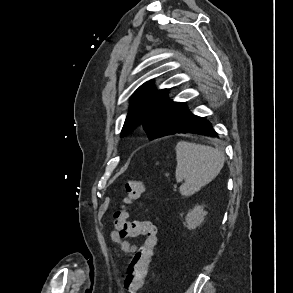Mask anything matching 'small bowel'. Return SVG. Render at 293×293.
I'll list each match as a JSON object with an SVG mask.
<instances>
[{
	"label": "small bowel",
	"mask_w": 293,
	"mask_h": 293,
	"mask_svg": "<svg viewBox=\"0 0 293 293\" xmlns=\"http://www.w3.org/2000/svg\"><path fill=\"white\" fill-rule=\"evenodd\" d=\"M110 239L120 247L122 252L126 254H131L136 250V245L133 242L122 237L118 233V231H112L110 233ZM114 253L119 256L116 251H114Z\"/></svg>",
	"instance_id": "obj_1"
}]
</instances>
